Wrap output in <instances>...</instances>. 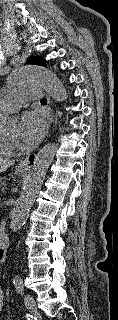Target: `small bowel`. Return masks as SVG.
I'll return each instance as SVG.
<instances>
[{
  "label": "small bowel",
  "instance_id": "obj_1",
  "mask_svg": "<svg viewBox=\"0 0 118 320\" xmlns=\"http://www.w3.org/2000/svg\"><path fill=\"white\" fill-rule=\"evenodd\" d=\"M3 307H4V293H3V290H2V286L0 284V313L3 310Z\"/></svg>",
  "mask_w": 118,
  "mask_h": 320
}]
</instances>
